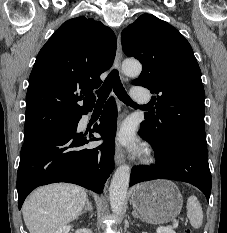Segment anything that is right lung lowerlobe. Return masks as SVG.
<instances>
[{
  "label": "right lung lower lobe",
  "mask_w": 227,
  "mask_h": 233,
  "mask_svg": "<svg viewBox=\"0 0 227 233\" xmlns=\"http://www.w3.org/2000/svg\"><path fill=\"white\" fill-rule=\"evenodd\" d=\"M116 118V104L111 97L99 125L89 134L77 132L79 117L71 125L24 140L17 173L19 209L33 189L55 182L74 183L101 193L114 168ZM92 132L107 140L101 146L85 148L88 143L99 140Z\"/></svg>",
  "instance_id": "98d812e1"
}]
</instances>
